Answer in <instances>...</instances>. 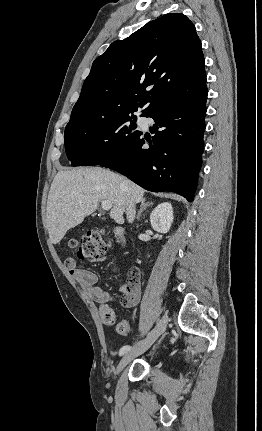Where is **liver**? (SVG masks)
<instances>
[{"label":"liver","instance_id":"6515ba94","mask_svg":"<svg viewBox=\"0 0 262 431\" xmlns=\"http://www.w3.org/2000/svg\"><path fill=\"white\" fill-rule=\"evenodd\" d=\"M144 192L132 181L101 167L59 171L51 184L46 208L51 242L58 244L69 229L95 212L102 200L112 203L110 217L123 223L129 202L139 203Z\"/></svg>","mask_w":262,"mask_h":431}]
</instances>
